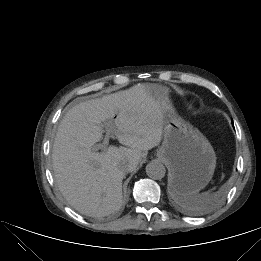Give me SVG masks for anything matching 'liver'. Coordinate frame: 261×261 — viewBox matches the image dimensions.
I'll list each match as a JSON object with an SVG mask.
<instances>
[{"instance_id": "6515ba94", "label": "liver", "mask_w": 261, "mask_h": 261, "mask_svg": "<svg viewBox=\"0 0 261 261\" xmlns=\"http://www.w3.org/2000/svg\"><path fill=\"white\" fill-rule=\"evenodd\" d=\"M165 94L150 84L81 102L62 119L53 144L56 183L82 214L104 216L120 208L122 181L141 152L159 145L163 135ZM111 122L121 147L96 152L105 123Z\"/></svg>"}]
</instances>
